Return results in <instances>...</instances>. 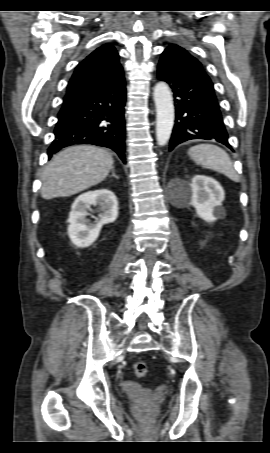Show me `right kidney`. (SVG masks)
<instances>
[{"label":"right kidney","mask_w":270,"mask_h":453,"mask_svg":"<svg viewBox=\"0 0 270 453\" xmlns=\"http://www.w3.org/2000/svg\"><path fill=\"white\" fill-rule=\"evenodd\" d=\"M91 205L99 206L101 210L96 224H91L86 218ZM117 217L118 201L112 191L100 189L83 193L71 206L68 236L75 246L88 247L98 238L102 226L114 222Z\"/></svg>","instance_id":"1"}]
</instances>
